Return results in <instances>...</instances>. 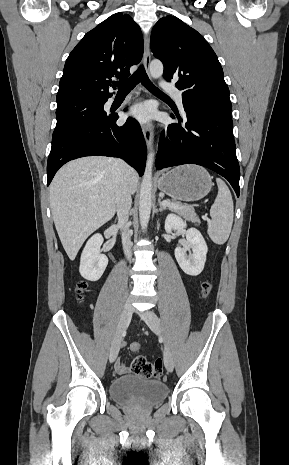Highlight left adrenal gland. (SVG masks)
Here are the masks:
<instances>
[{
    "label": "left adrenal gland",
    "mask_w": 289,
    "mask_h": 465,
    "mask_svg": "<svg viewBox=\"0 0 289 465\" xmlns=\"http://www.w3.org/2000/svg\"><path fill=\"white\" fill-rule=\"evenodd\" d=\"M159 203V211L162 212L163 210H166V207L162 204L161 199H158Z\"/></svg>",
    "instance_id": "left-adrenal-gland-1"
}]
</instances>
